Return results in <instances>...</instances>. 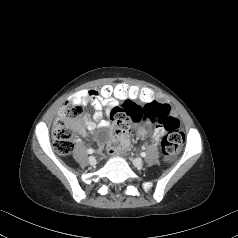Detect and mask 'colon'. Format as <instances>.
I'll return each instance as SVG.
<instances>
[{
	"label": "colon",
	"instance_id": "colon-1",
	"mask_svg": "<svg viewBox=\"0 0 238 238\" xmlns=\"http://www.w3.org/2000/svg\"><path fill=\"white\" fill-rule=\"evenodd\" d=\"M98 95L104 101L117 99L124 103L123 106L114 107L110 112L113 122L112 137L108 144L110 153H116L127 146L130 120H149L160 121L164 129L161 140L164 160L170 161L178 154L185 140L180 122L170 114L167 104L155 101L156 95L152 90L126 83H104L100 85ZM82 115V104L69 100L63 105L52 128L53 147L60 155H67L72 151L74 131L80 126Z\"/></svg>",
	"mask_w": 238,
	"mask_h": 238
}]
</instances>
